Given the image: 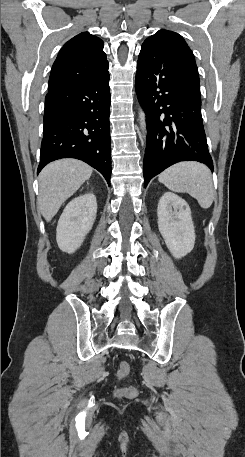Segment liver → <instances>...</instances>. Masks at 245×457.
I'll list each match as a JSON object with an SVG mask.
<instances>
[{
	"mask_svg": "<svg viewBox=\"0 0 245 457\" xmlns=\"http://www.w3.org/2000/svg\"><path fill=\"white\" fill-rule=\"evenodd\" d=\"M91 174V166L76 158H61L44 166L39 174L38 204L47 222Z\"/></svg>",
	"mask_w": 245,
	"mask_h": 457,
	"instance_id": "obj_1",
	"label": "liver"
}]
</instances>
